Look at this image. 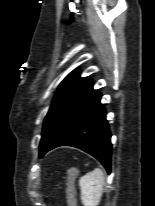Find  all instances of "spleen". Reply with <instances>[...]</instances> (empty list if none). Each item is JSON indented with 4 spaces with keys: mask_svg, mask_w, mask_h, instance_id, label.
<instances>
[{
    "mask_svg": "<svg viewBox=\"0 0 155 206\" xmlns=\"http://www.w3.org/2000/svg\"><path fill=\"white\" fill-rule=\"evenodd\" d=\"M104 184L105 178L100 168H96L80 178L81 201L84 206L99 205Z\"/></svg>",
    "mask_w": 155,
    "mask_h": 206,
    "instance_id": "1",
    "label": "spleen"
}]
</instances>
